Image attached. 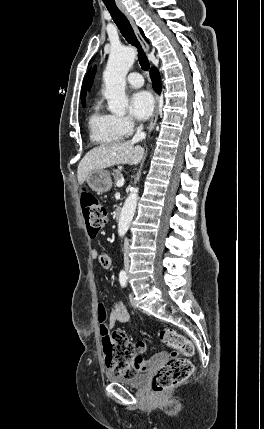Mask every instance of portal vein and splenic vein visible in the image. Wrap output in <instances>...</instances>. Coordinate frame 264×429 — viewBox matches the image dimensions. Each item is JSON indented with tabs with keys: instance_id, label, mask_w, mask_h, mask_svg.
Here are the masks:
<instances>
[{
	"instance_id": "1",
	"label": "portal vein and splenic vein",
	"mask_w": 264,
	"mask_h": 429,
	"mask_svg": "<svg viewBox=\"0 0 264 429\" xmlns=\"http://www.w3.org/2000/svg\"><path fill=\"white\" fill-rule=\"evenodd\" d=\"M124 182H125V180H124V178L122 177L121 179H119V180L117 181V183H116L117 187H122V186L124 185Z\"/></svg>"
}]
</instances>
